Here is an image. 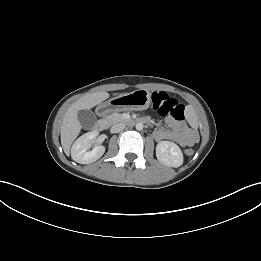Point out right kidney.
<instances>
[{"label":"right kidney","instance_id":"right-kidney-1","mask_svg":"<svg viewBox=\"0 0 261 261\" xmlns=\"http://www.w3.org/2000/svg\"><path fill=\"white\" fill-rule=\"evenodd\" d=\"M96 132H88L79 137L71 148L72 159L80 164H90L98 160L105 152V147L98 145L90 150L92 141L96 139Z\"/></svg>","mask_w":261,"mask_h":261}]
</instances>
